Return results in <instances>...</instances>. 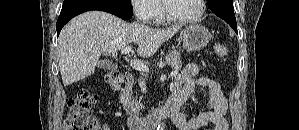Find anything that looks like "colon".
<instances>
[{
    "label": "colon",
    "instance_id": "obj_1",
    "mask_svg": "<svg viewBox=\"0 0 299 130\" xmlns=\"http://www.w3.org/2000/svg\"><path fill=\"white\" fill-rule=\"evenodd\" d=\"M214 51L220 58H226L228 49L222 44H215ZM105 82L111 89L117 90L121 87L124 76L118 71H109L104 75ZM97 96L88 89H81L76 99L69 102V112L64 121V130H105L103 124L91 113L92 106Z\"/></svg>",
    "mask_w": 299,
    "mask_h": 130
}]
</instances>
